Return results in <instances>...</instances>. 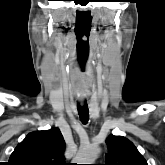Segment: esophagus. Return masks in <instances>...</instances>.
<instances>
[{
    "label": "esophagus",
    "mask_w": 165,
    "mask_h": 165,
    "mask_svg": "<svg viewBox=\"0 0 165 165\" xmlns=\"http://www.w3.org/2000/svg\"><path fill=\"white\" fill-rule=\"evenodd\" d=\"M79 101H80L81 103H83V102H84V100H83V99H80Z\"/></svg>",
    "instance_id": "1"
}]
</instances>
